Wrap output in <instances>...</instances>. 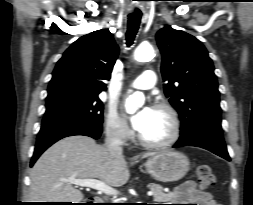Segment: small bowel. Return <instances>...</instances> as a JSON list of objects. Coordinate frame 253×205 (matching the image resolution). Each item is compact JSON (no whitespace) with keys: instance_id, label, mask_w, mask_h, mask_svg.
Instances as JSON below:
<instances>
[{"instance_id":"small-bowel-1","label":"small bowel","mask_w":253,"mask_h":205,"mask_svg":"<svg viewBox=\"0 0 253 205\" xmlns=\"http://www.w3.org/2000/svg\"><path fill=\"white\" fill-rule=\"evenodd\" d=\"M176 200L184 203H194L185 205H221L217 204L212 196L196 189L194 182H187L176 192Z\"/></svg>"}]
</instances>
